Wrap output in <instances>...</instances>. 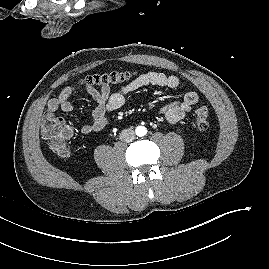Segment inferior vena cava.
<instances>
[{"instance_id":"inferior-vena-cava-1","label":"inferior vena cava","mask_w":269,"mask_h":269,"mask_svg":"<svg viewBox=\"0 0 269 269\" xmlns=\"http://www.w3.org/2000/svg\"><path fill=\"white\" fill-rule=\"evenodd\" d=\"M119 137L125 142H132L135 139V132L131 129H124Z\"/></svg>"}]
</instances>
